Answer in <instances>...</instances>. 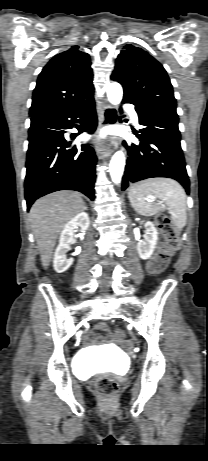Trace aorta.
<instances>
[{
    "mask_svg": "<svg viewBox=\"0 0 208 461\" xmlns=\"http://www.w3.org/2000/svg\"><path fill=\"white\" fill-rule=\"evenodd\" d=\"M107 97L111 104L118 105L122 101L123 89L117 82H112L107 88ZM125 167V155L123 151H117L111 158L109 164V172L112 181L115 184L121 182Z\"/></svg>",
    "mask_w": 208,
    "mask_h": 461,
    "instance_id": "aorta-1",
    "label": "aorta"
}]
</instances>
